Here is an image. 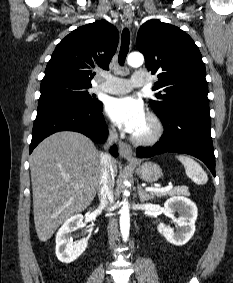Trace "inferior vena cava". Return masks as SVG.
I'll return each mask as SVG.
<instances>
[{"mask_svg": "<svg viewBox=\"0 0 233 283\" xmlns=\"http://www.w3.org/2000/svg\"><path fill=\"white\" fill-rule=\"evenodd\" d=\"M117 137L118 135L115 130L110 131L107 140L108 144H112L113 142H116ZM113 187H114V173H113L112 157L108 152H104L101 155V176H100V186L98 190V197L101 206L111 207V205L114 203ZM107 229H108L109 243L110 245H113L118 235V225L116 219L111 218L109 220Z\"/></svg>", "mask_w": 233, "mask_h": 283, "instance_id": "602c4592", "label": "inferior vena cava"}]
</instances>
